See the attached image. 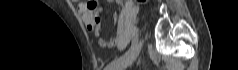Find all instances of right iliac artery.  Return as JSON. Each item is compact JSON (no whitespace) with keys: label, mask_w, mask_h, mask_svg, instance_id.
I'll use <instances>...</instances> for the list:
<instances>
[{"label":"right iliac artery","mask_w":238,"mask_h":70,"mask_svg":"<svg viewBox=\"0 0 238 70\" xmlns=\"http://www.w3.org/2000/svg\"><path fill=\"white\" fill-rule=\"evenodd\" d=\"M137 43H138V40L135 39L130 47V49L123 55L121 56L120 58H117L115 59L114 61H112L111 63H109L107 65V67L105 68V70H112L119 62H121L122 60L126 59L128 56H130L134 50L136 49L137 47Z\"/></svg>","instance_id":"82829eb1"}]
</instances>
